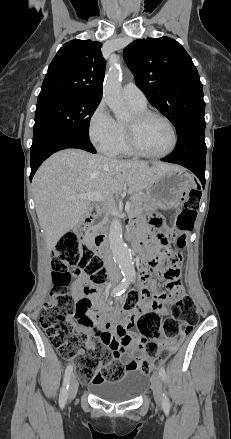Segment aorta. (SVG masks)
<instances>
[{
    "mask_svg": "<svg viewBox=\"0 0 231 439\" xmlns=\"http://www.w3.org/2000/svg\"><path fill=\"white\" fill-rule=\"evenodd\" d=\"M121 78V67L116 63H112L104 78L103 99L117 120L125 119L128 114L121 95ZM109 241L113 257L122 273L126 278H133L135 276V268L132 255L122 239V225L118 219H113L111 222Z\"/></svg>",
    "mask_w": 231,
    "mask_h": 439,
    "instance_id": "1",
    "label": "aorta"
}]
</instances>
